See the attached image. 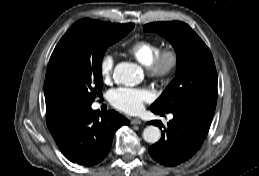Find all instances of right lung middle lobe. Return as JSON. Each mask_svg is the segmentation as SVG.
<instances>
[{"instance_id":"dd1d6c3e","label":"right lung middle lobe","mask_w":259,"mask_h":176,"mask_svg":"<svg viewBox=\"0 0 259 176\" xmlns=\"http://www.w3.org/2000/svg\"><path fill=\"white\" fill-rule=\"evenodd\" d=\"M134 24L94 25L76 22L56 45L50 61L66 88L69 103L90 106L101 93L102 59L106 49L126 36Z\"/></svg>"}]
</instances>
